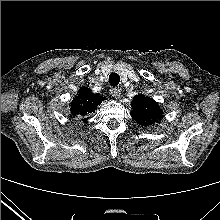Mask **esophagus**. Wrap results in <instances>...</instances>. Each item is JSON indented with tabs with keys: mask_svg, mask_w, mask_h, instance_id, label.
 Listing matches in <instances>:
<instances>
[{
	"mask_svg": "<svg viewBox=\"0 0 220 220\" xmlns=\"http://www.w3.org/2000/svg\"><path fill=\"white\" fill-rule=\"evenodd\" d=\"M110 93L111 95L114 97V98H119L120 96V89L119 88H116V87H113L110 89Z\"/></svg>",
	"mask_w": 220,
	"mask_h": 220,
	"instance_id": "1",
	"label": "esophagus"
}]
</instances>
